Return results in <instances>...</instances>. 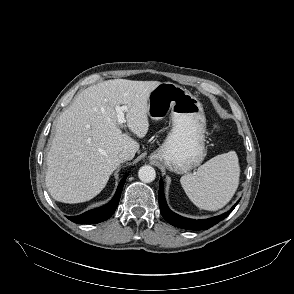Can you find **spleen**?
Wrapping results in <instances>:
<instances>
[{
    "label": "spleen",
    "instance_id": "spleen-1",
    "mask_svg": "<svg viewBox=\"0 0 294 294\" xmlns=\"http://www.w3.org/2000/svg\"><path fill=\"white\" fill-rule=\"evenodd\" d=\"M240 167L235 151L217 155L193 174L181 177L189 199L199 208L216 211L224 207L239 185Z\"/></svg>",
    "mask_w": 294,
    "mask_h": 294
}]
</instances>
